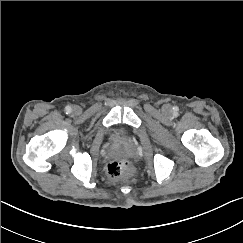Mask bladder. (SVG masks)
<instances>
[{"mask_svg":"<svg viewBox=\"0 0 243 243\" xmlns=\"http://www.w3.org/2000/svg\"><path fill=\"white\" fill-rule=\"evenodd\" d=\"M122 136H123L122 131H117V132L115 133V138H116V139H120Z\"/></svg>","mask_w":243,"mask_h":243,"instance_id":"obj_1","label":"bladder"}]
</instances>
